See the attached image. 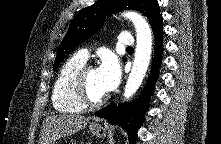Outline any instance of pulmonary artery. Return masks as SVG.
I'll return each mask as SVG.
<instances>
[{"mask_svg": "<svg viewBox=\"0 0 221 144\" xmlns=\"http://www.w3.org/2000/svg\"><path fill=\"white\" fill-rule=\"evenodd\" d=\"M118 42L121 45L132 46L134 43L133 37L129 32H122L118 36ZM78 55L83 59L87 60L89 57V52L87 49H82L78 52Z\"/></svg>", "mask_w": 221, "mask_h": 144, "instance_id": "obj_1", "label": "pulmonary artery"}]
</instances>
